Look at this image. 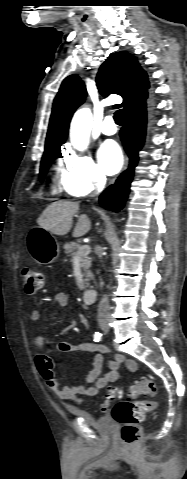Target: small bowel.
<instances>
[{"label": "small bowel", "instance_id": "1", "mask_svg": "<svg viewBox=\"0 0 187 479\" xmlns=\"http://www.w3.org/2000/svg\"><path fill=\"white\" fill-rule=\"evenodd\" d=\"M54 303L59 309L72 308L70 295L64 292H59L54 295ZM30 320L35 326H40L42 324L41 313L38 310H33L30 314ZM82 320L85 323V319ZM85 326L88 329L86 323ZM34 342L37 348L41 351L35 360V365L40 375L47 386L53 390L57 397L65 402L67 406H71V403H81L85 397L92 399L96 397L105 386L118 380L122 366H125L129 370H135L137 368V363L134 360L126 359L122 355H116L109 363L110 371L100 377L99 372L103 361L102 356L109 352L107 347L89 341L82 343L63 341L59 342L55 347L59 352L69 353L74 351H88L94 353L95 357L94 367L87 375L84 384L60 387V382L53 370L52 359L50 356L52 349L44 348V339L39 334L35 335Z\"/></svg>", "mask_w": 187, "mask_h": 479}]
</instances>
